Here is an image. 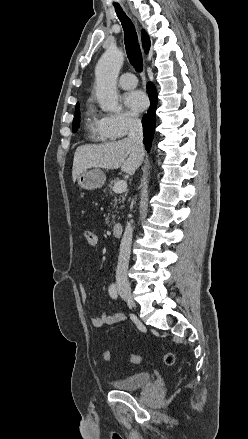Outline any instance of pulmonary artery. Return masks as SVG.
Wrapping results in <instances>:
<instances>
[{
  "label": "pulmonary artery",
  "mask_w": 248,
  "mask_h": 439,
  "mask_svg": "<svg viewBox=\"0 0 248 439\" xmlns=\"http://www.w3.org/2000/svg\"><path fill=\"white\" fill-rule=\"evenodd\" d=\"M137 79L132 73H124L119 78V86L123 89H132L136 87Z\"/></svg>",
  "instance_id": "pulmonary-artery-1"
}]
</instances>
